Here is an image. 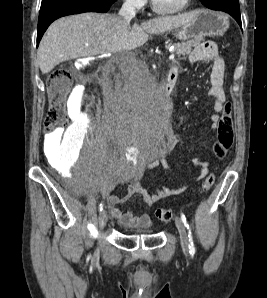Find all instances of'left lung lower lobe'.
Listing matches in <instances>:
<instances>
[{
    "instance_id": "0a47b994",
    "label": "left lung lower lobe",
    "mask_w": 267,
    "mask_h": 298,
    "mask_svg": "<svg viewBox=\"0 0 267 298\" xmlns=\"http://www.w3.org/2000/svg\"><path fill=\"white\" fill-rule=\"evenodd\" d=\"M213 10H221L226 13H229L231 16L235 18L238 24L241 26V17H240V8L239 4L235 5L232 2L228 4H218Z\"/></svg>"
}]
</instances>
